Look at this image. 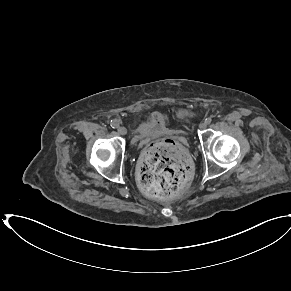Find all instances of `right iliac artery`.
I'll use <instances>...</instances> for the list:
<instances>
[{"instance_id": "1", "label": "right iliac artery", "mask_w": 291, "mask_h": 291, "mask_svg": "<svg viewBox=\"0 0 291 291\" xmlns=\"http://www.w3.org/2000/svg\"><path fill=\"white\" fill-rule=\"evenodd\" d=\"M110 126L115 129L119 126V122L116 120H113L111 121Z\"/></svg>"}]
</instances>
